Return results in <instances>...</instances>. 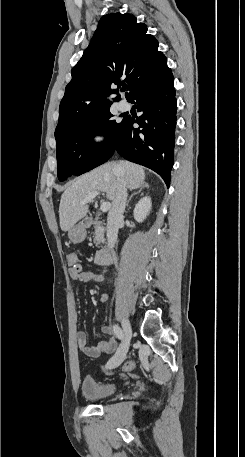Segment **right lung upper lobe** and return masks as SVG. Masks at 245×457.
<instances>
[{"mask_svg":"<svg viewBox=\"0 0 245 457\" xmlns=\"http://www.w3.org/2000/svg\"><path fill=\"white\" fill-rule=\"evenodd\" d=\"M146 32L147 26L137 23L131 14L118 12L100 19L89 46L71 71L56 129L109 107L112 102L107 97L118 94V89H111L113 84L128 85L130 96L138 85L168 68L165 55L158 51V41Z\"/></svg>","mask_w":245,"mask_h":457,"instance_id":"obj_1","label":"right lung upper lobe"}]
</instances>
